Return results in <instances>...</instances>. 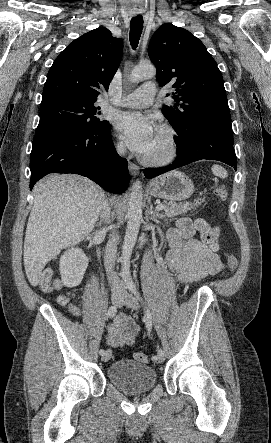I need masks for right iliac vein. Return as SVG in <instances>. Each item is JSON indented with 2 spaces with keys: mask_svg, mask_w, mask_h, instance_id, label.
<instances>
[{
  "mask_svg": "<svg viewBox=\"0 0 271 443\" xmlns=\"http://www.w3.org/2000/svg\"><path fill=\"white\" fill-rule=\"evenodd\" d=\"M123 296L121 294H113L111 296V302L113 305L118 306L122 301ZM111 350L107 349L101 357L103 362H107L111 358Z\"/></svg>",
  "mask_w": 271,
  "mask_h": 443,
  "instance_id": "obj_1",
  "label": "right iliac vein"
}]
</instances>
